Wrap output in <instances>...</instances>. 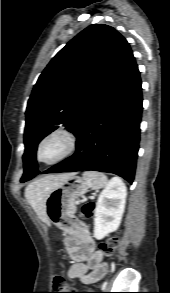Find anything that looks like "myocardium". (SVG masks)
<instances>
[{"mask_svg": "<svg viewBox=\"0 0 170 293\" xmlns=\"http://www.w3.org/2000/svg\"><path fill=\"white\" fill-rule=\"evenodd\" d=\"M60 136L64 140L63 151L51 160H43L41 157V150L43 146L52 138ZM78 148V139L76 135L65 127H57L47 132L37 143L35 148V160L43 165L57 164L70 156H72Z\"/></svg>", "mask_w": 170, "mask_h": 293, "instance_id": "obj_1", "label": "myocardium"}]
</instances>
